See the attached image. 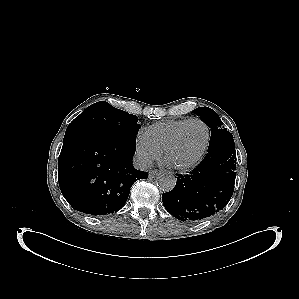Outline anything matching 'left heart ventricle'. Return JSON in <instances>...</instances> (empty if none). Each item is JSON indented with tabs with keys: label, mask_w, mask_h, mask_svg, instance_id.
Segmentation results:
<instances>
[{
	"label": "left heart ventricle",
	"mask_w": 299,
	"mask_h": 299,
	"mask_svg": "<svg viewBox=\"0 0 299 299\" xmlns=\"http://www.w3.org/2000/svg\"><path fill=\"white\" fill-rule=\"evenodd\" d=\"M205 135V129L201 124H189L171 151L170 160L178 164H186L192 161L201 151Z\"/></svg>",
	"instance_id": "1"
}]
</instances>
